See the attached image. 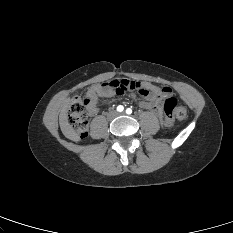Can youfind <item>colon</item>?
<instances>
[{
  "instance_id": "1",
  "label": "colon",
  "mask_w": 233,
  "mask_h": 233,
  "mask_svg": "<svg viewBox=\"0 0 233 233\" xmlns=\"http://www.w3.org/2000/svg\"><path fill=\"white\" fill-rule=\"evenodd\" d=\"M104 87L114 91L116 94H123L125 91L142 90L138 81L128 79H116L104 83ZM89 100L85 95L75 96L71 99L69 106V116L73 126L74 134L78 138H85L88 135V122L86 110ZM165 119L167 127H172L175 120L182 121L187 117V109L179 105L173 97H167L164 103Z\"/></svg>"
}]
</instances>
